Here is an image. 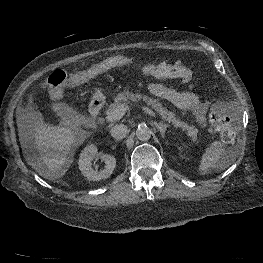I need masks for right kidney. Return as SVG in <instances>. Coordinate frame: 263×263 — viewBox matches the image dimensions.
<instances>
[{
    "label": "right kidney",
    "mask_w": 263,
    "mask_h": 263,
    "mask_svg": "<svg viewBox=\"0 0 263 263\" xmlns=\"http://www.w3.org/2000/svg\"><path fill=\"white\" fill-rule=\"evenodd\" d=\"M97 157L106 164L105 168L101 171L92 168V161ZM78 165L82 174L89 180L99 181L111 176L116 166V159L112 155L98 153L97 147L91 144L85 147L80 154Z\"/></svg>",
    "instance_id": "1"
}]
</instances>
